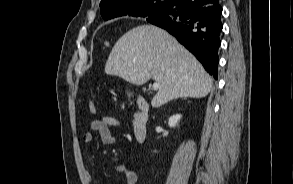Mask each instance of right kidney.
Wrapping results in <instances>:
<instances>
[{
    "mask_svg": "<svg viewBox=\"0 0 293 184\" xmlns=\"http://www.w3.org/2000/svg\"><path fill=\"white\" fill-rule=\"evenodd\" d=\"M180 119H181L180 114H176V115L171 116L168 120L169 127L174 128L178 124Z\"/></svg>",
    "mask_w": 293,
    "mask_h": 184,
    "instance_id": "1",
    "label": "right kidney"
}]
</instances>
